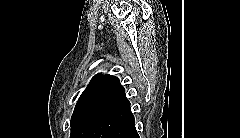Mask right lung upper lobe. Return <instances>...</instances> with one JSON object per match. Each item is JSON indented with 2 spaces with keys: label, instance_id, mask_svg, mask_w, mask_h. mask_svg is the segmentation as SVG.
I'll list each match as a JSON object with an SVG mask.
<instances>
[{
  "label": "right lung upper lobe",
  "instance_id": "right-lung-upper-lobe-1",
  "mask_svg": "<svg viewBox=\"0 0 240 138\" xmlns=\"http://www.w3.org/2000/svg\"><path fill=\"white\" fill-rule=\"evenodd\" d=\"M129 101L125 89L117 77L97 74L81 94L73 116L87 113L111 115L125 106Z\"/></svg>",
  "mask_w": 240,
  "mask_h": 138
}]
</instances>
